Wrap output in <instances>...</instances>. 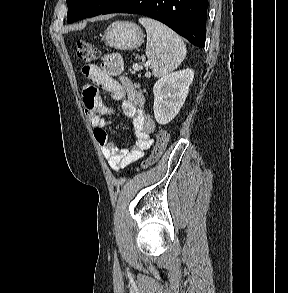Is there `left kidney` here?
<instances>
[{"instance_id":"left-kidney-1","label":"left kidney","mask_w":288,"mask_h":293,"mask_svg":"<svg viewBox=\"0 0 288 293\" xmlns=\"http://www.w3.org/2000/svg\"><path fill=\"white\" fill-rule=\"evenodd\" d=\"M194 78L192 69L179 70L160 78L153 87L156 121L168 124L179 113Z\"/></svg>"}]
</instances>
